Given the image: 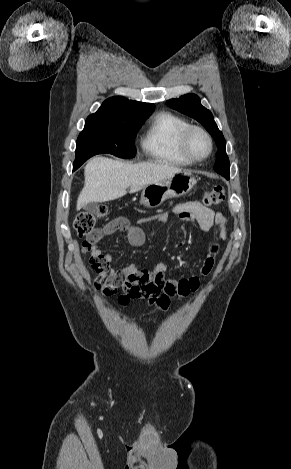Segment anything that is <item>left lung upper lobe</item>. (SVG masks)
<instances>
[{
	"label": "left lung upper lobe",
	"mask_w": 291,
	"mask_h": 469,
	"mask_svg": "<svg viewBox=\"0 0 291 469\" xmlns=\"http://www.w3.org/2000/svg\"><path fill=\"white\" fill-rule=\"evenodd\" d=\"M166 103L171 108L199 121L212 135L218 147L214 170L229 179L230 164L225 151L226 141L222 132L218 129L212 113L200 103V98L195 94H186L180 98L170 99Z\"/></svg>",
	"instance_id": "left-lung-upper-lobe-1"
}]
</instances>
